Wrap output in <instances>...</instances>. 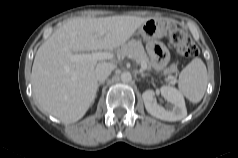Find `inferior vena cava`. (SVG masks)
Segmentation results:
<instances>
[{
  "instance_id": "inferior-vena-cava-1",
  "label": "inferior vena cava",
  "mask_w": 238,
  "mask_h": 158,
  "mask_svg": "<svg viewBox=\"0 0 238 158\" xmlns=\"http://www.w3.org/2000/svg\"><path fill=\"white\" fill-rule=\"evenodd\" d=\"M112 72V66L108 63H99L96 66L95 69V75H96V79L99 82H105V80L108 78V76L111 74Z\"/></svg>"
}]
</instances>
